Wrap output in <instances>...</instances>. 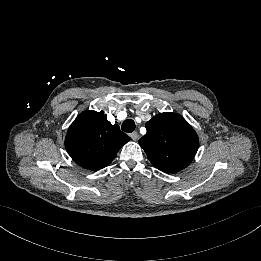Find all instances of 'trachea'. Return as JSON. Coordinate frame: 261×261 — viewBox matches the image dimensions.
Instances as JSON below:
<instances>
[{
    "label": "trachea",
    "mask_w": 261,
    "mask_h": 261,
    "mask_svg": "<svg viewBox=\"0 0 261 261\" xmlns=\"http://www.w3.org/2000/svg\"><path fill=\"white\" fill-rule=\"evenodd\" d=\"M135 122L133 119H127L122 123L121 129L124 132L131 133L135 130Z\"/></svg>",
    "instance_id": "1"
}]
</instances>
